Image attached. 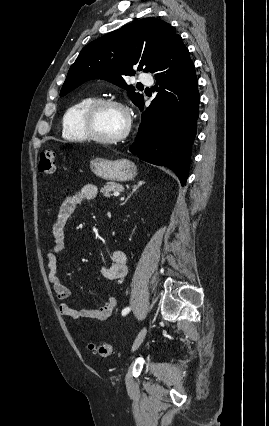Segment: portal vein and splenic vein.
Segmentation results:
<instances>
[{
  "instance_id": "18ae733b",
  "label": "portal vein and splenic vein",
  "mask_w": 269,
  "mask_h": 426,
  "mask_svg": "<svg viewBox=\"0 0 269 426\" xmlns=\"http://www.w3.org/2000/svg\"><path fill=\"white\" fill-rule=\"evenodd\" d=\"M113 195H114L115 197H117V196H119V195H120V193H119L118 191H116V192H114V193H113Z\"/></svg>"
}]
</instances>
